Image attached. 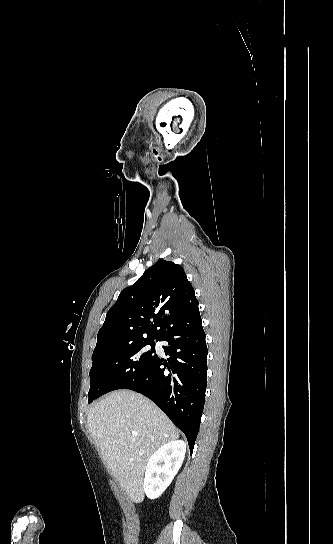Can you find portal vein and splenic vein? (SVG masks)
Here are the masks:
<instances>
[{"instance_id":"18ae733b","label":"portal vein and splenic vein","mask_w":333,"mask_h":544,"mask_svg":"<svg viewBox=\"0 0 333 544\" xmlns=\"http://www.w3.org/2000/svg\"><path fill=\"white\" fill-rule=\"evenodd\" d=\"M131 434H132L133 436H137V435H138V432H137V431H132Z\"/></svg>"}]
</instances>
